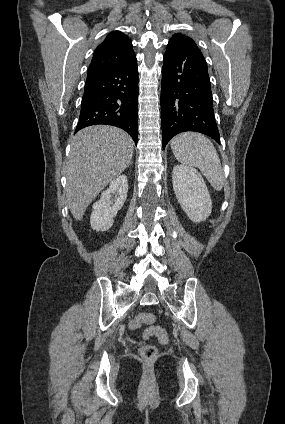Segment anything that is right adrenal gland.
I'll list each match as a JSON object with an SVG mask.
<instances>
[{"mask_svg":"<svg viewBox=\"0 0 285 424\" xmlns=\"http://www.w3.org/2000/svg\"><path fill=\"white\" fill-rule=\"evenodd\" d=\"M130 164L132 165V164H133V162L131 161V162H130Z\"/></svg>","mask_w":285,"mask_h":424,"instance_id":"obj_1","label":"right adrenal gland"}]
</instances>
